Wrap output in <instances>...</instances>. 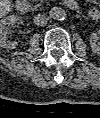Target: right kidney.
<instances>
[{
  "label": "right kidney",
  "mask_w": 100,
  "mask_h": 118,
  "mask_svg": "<svg viewBox=\"0 0 100 118\" xmlns=\"http://www.w3.org/2000/svg\"><path fill=\"white\" fill-rule=\"evenodd\" d=\"M23 20L15 15L8 16L0 20V47L5 49H15L17 47V42L7 41V36L9 35L8 26L13 23H22Z\"/></svg>",
  "instance_id": "right-kidney-1"
}]
</instances>
